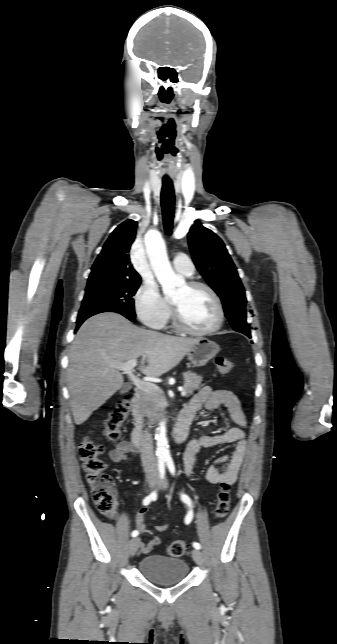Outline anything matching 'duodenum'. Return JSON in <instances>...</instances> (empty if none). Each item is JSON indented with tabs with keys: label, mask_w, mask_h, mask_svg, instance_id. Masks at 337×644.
I'll list each match as a JSON object with an SVG mask.
<instances>
[{
	"label": "duodenum",
	"mask_w": 337,
	"mask_h": 644,
	"mask_svg": "<svg viewBox=\"0 0 337 644\" xmlns=\"http://www.w3.org/2000/svg\"><path fill=\"white\" fill-rule=\"evenodd\" d=\"M131 410L134 418V427L131 432V443L136 448H143L146 441V436L143 433L141 427L143 415L140 405V399L137 395L133 396L131 400ZM191 421L192 419L189 415L185 413L180 414L176 427L172 432V438L176 443H182L187 439Z\"/></svg>",
	"instance_id": "1"
}]
</instances>
